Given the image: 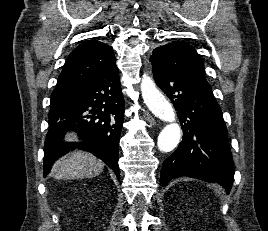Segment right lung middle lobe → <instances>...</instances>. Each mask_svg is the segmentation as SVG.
I'll return each mask as SVG.
<instances>
[{
    "mask_svg": "<svg viewBox=\"0 0 268 231\" xmlns=\"http://www.w3.org/2000/svg\"><path fill=\"white\" fill-rule=\"evenodd\" d=\"M75 95V90L65 89L53 91L51 95V106H57L70 100Z\"/></svg>",
    "mask_w": 268,
    "mask_h": 231,
    "instance_id": "right-lung-middle-lobe-1",
    "label": "right lung middle lobe"
}]
</instances>
